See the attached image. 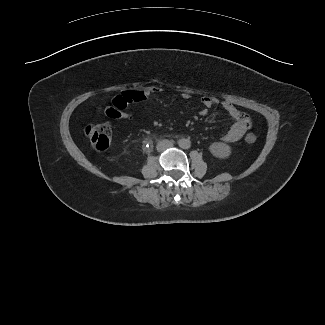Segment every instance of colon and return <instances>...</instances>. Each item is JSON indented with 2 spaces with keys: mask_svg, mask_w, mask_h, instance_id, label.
<instances>
[{
  "mask_svg": "<svg viewBox=\"0 0 325 325\" xmlns=\"http://www.w3.org/2000/svg\"><path fill=\"white\" fill-rule=\"evenodd\" d=\"M84 135L91 147L97 151L106 150L111 142L112 128L107 122L91 124L85 127ZM246 143H254L257 140L256 135L249 133L244 138Z\"/></svg>",
  "mask_w": 325,
  "mask_h": 325,
  "instance_id": "colon-1",
  "label": "colon"
}]
</instances>
